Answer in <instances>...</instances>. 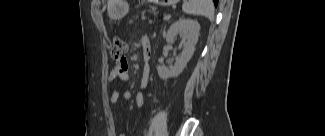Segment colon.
Listing matches in <instances>:
<instances>
[{
    "mask_svg": "<svg viewBox=\"0 0 325 136\" xmlns=\"http://www.w3.org/2000/svg\"><path fill=\"white\" fill-rule=\"evenodd\" d=\"M126 49V42L121 38H115L113 40L112 47L110 50L111 56L116 60L124 59Z\"/></svg>",
    "mask_w": 325,
    "mask_h": 136,
    "instance_id": "1",
    "label": "colon"
}]
</instances>
